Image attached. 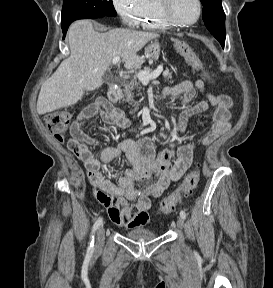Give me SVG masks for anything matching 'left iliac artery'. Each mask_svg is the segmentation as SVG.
Returning <instances> with one entry per match:
<instances>
[{
	"instance_id": "44dca946",
	"label": "left iliac artery",
	"mask_w": 273,
	"mask_h": 288,
	"mask_svg": "<svg viewBox=\"0 0 273 288\" xmlns=\"http://www.w3.org/2000/svg\"><path fill=\"white\" fill-rule=\"evenodd\" d=\"M180 217H181L182 219H185V218H186V213H185V211H183V210L180 211Z\"/></svg>"
}]
</instances>
